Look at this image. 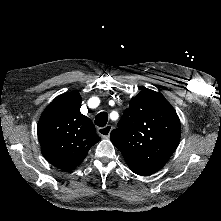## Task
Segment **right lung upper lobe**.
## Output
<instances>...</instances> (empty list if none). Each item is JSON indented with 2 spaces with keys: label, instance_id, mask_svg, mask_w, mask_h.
Masks as SVG:
<instances>
[{
  "label": "right lung upper lobe",
  "instance_id": "obj_1",
  "mask_svg": "<svg viewBox=\"0 0 221 221\" xmlns=\"http://www.w3.org/2000/svg\"><path fill=\"white\" fill-rule=\"evenodd\" d=\"M80 107L78 92L62 94L46 107L38 123L44 157L63 171L77 167L101 140L92 121L80 113Z\"/></svg>",
  "mask_w": 221,
  "mask_h": 221
}]
</instances>
